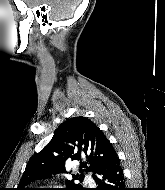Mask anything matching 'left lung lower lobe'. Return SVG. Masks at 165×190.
<instances>
[{"label":"left lung lower lobe","instance_id":"0a47b994","mask_svg":"<svg viewBox=\"0 0 165 190\" xmlns=\"http://www.w3.org/2000/svg\"><path fill=\"white\" fill-rule=\"evenodd\" d=\"M98 185L95 190H126L120 161L115 153L92 175Z\"/></svg>","mask_w":165,"mask_h":190}]
</instances>
